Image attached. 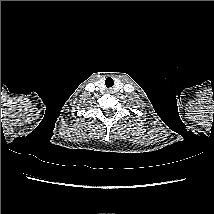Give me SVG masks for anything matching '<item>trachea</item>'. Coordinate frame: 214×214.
<instances>
[{"instance_id":"trachea-1","label":"trachea","mask_w":214,"mask_h":214,"mask_svg":"<svg viewBox=\"0 0 214 214\" xmlns=\"http://www.w3.org/2000/svg\"><path fill=\"white\" fill-rule=\"evenodd\" d=\"M105 84H106L107 87H112L113 84H114V81H113L112 78H107V79L105 80Z\"/></svg>"}]
</instances>
